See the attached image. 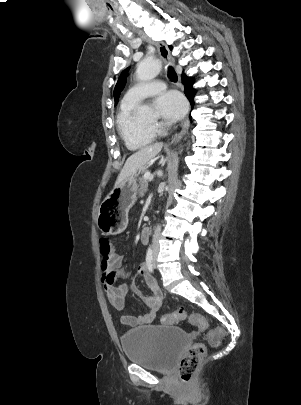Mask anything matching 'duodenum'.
I'll return each mask as SVG.
<instances>
[{
    "label": "duodenum",
    "instance_id": "obj_1",
    "mask_svg": "<svg viewBox=\"0 0 301 405\" xmlns=\"http://www.w3.org/2000/svg\"><path fill=\"white\" fill-rule=\"evenodd\" d=\"M150 231L148 228H143L140 234V239L143 244H147L149 241Z\"/></svg>",
    "mask_w": 301,
    "mask_h": 405
}]
</instances>
